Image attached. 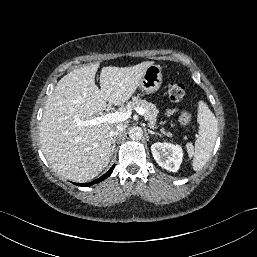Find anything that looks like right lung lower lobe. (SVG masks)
Listing matches in <instances>:
<instances>
[{
  "label": "right lung lower lobe",
  "instance_id": "right-lung-lower-lobe-1",
  "mask_svg": "<svg viewBox=\"0 0 257 257\" xmlns=\"http://www.w3.org/2000/svg\"><path fill=\"white\" fill-rule=\"evenodd\" d=\"M114 166H115V165H113V166L111 167V169H110L108 172H106L103 176H101L100 178H98V179H96V180H94V181H92V182H90V183H86V184H79V183H76V185H80V186H89V185H93V184L99 183V182L105 180L108 176L111 175V173H112V171H113V169H114Z\"/></svg>",
  "mask_w": 257,
  "mask_h": 257
}]
</instances>
